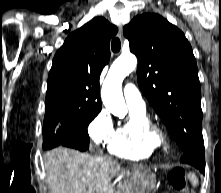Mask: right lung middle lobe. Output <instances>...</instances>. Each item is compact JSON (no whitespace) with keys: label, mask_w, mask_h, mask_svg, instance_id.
Instances as JSON below:
<instances>
[{"label":"right lung middle lobe","mask_w":221,"mask_h":193,"mask_svg":"<svg viewBox=\"0 0 221 193\" xmlns=\"http://www.w3.org/2000/svg\"><path fill=\"white\" fill-rule=\"evenodd\" d=\"M100 111L85 113H45L43 149L64 145L85 151L89 148L87 127Z\"/></svg>","instance_id":"right-lung-middle-lobe-1"}]
</instances>
